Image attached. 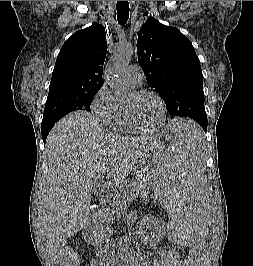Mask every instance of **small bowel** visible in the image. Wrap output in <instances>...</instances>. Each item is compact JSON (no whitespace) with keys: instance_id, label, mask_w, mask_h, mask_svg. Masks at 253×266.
<instances>
[{"instance_id":"small-bowel-1","label":"small bowel","mask_w":253,"mask_h":266,"mask_svg":"<svg viewBox=\"0 0 253 266\" xmlns=\"http://www.w3.org/2000/svg\"><path fill=\"white\" fill-rule=\"evenodd\" d=\"M159 259L145 260L140 254L132 252L121 260H114V265L120 264L123 266H185L179 253L172 249L161 248L157 251ZM91 266H104L103 261L94 260ZM193 266H197L194 264Z\"/></svg>"}]
</instances>
